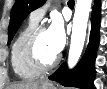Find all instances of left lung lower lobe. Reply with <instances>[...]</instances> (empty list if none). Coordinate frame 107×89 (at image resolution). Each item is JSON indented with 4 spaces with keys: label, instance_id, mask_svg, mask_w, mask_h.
<instances>
[{
    "label": "left lung lower lobe",
    "instance_id": "1",
    "mask_svg": "<svg viewBox=\"0 0 107 89\" xmlns=\"http://www.w3.org/2000/svg\"><path fill=\"white\" fill-rule=\"evenodd\" d=\"M100 24V0H95L91 17L90 40L86 54L79 64L71 71L67 64H62L48 79L57 81L64 86H74L82 89H94V60L99 43L98 32Z\"/></svg>",
    "mask_w": 107,
    "mask_h": 89
}]
</instances>
